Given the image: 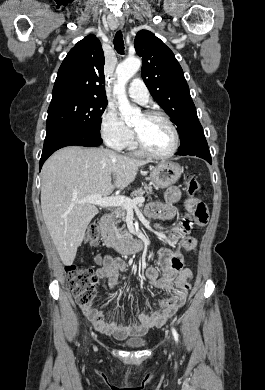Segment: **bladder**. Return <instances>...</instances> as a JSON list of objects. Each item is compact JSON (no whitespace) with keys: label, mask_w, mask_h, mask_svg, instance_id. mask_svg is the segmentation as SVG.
<instances>
[{"label":"bladder","mask_w":265,"mask_h":390,"mask_svg":"<svg viewBox=\"0 0 265 390\" xmlns=\"http://www.w3.org/2000/svg\"><path fill=\"white\" fill-rule=\"evenodd\" d=\"M147 341L144 338H128L123 341V345L131 349H139L146 345Z\"/></svg>","instance_id":"31cf9c89"}]
</instances>
